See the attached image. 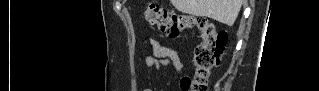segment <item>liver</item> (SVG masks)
<instances>
[{
    "label": "liver",
    "mask_w": 319,
    "mask_h": 91,
    "mask_svg": "<svg viewBox=\"0 0 319 91\" xmlns=\"http://www.w3.org/2000/svg\"><path fill=\"white\" fill-rule=\"evenodd\" d=\"M180 12L208 17L232 26L239 14L243 0H171Z\"/></svg>",
    "instance_id": "liver-1"
}]
</instances>
